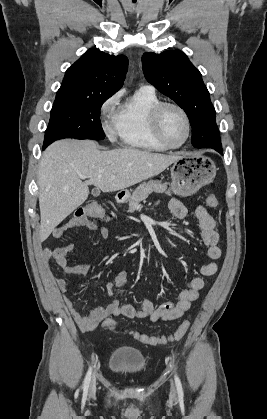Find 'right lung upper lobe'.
Segmentation results:
<instances>
[{
    "label": "right lung upper lobe",
    "instance_id": "cb5924a9",
    "mask_svg": "<svg viewBox=\"0 0 267 419\" xmlns=\"http://www.w3.org/2000/svg\"><path fill=\"white\" fill-rule=\"evenodd\" d=\"M127 66L126 56L91 48L67 69L56 96H112L122 87Z\"/></svg>",
    "mask_w": 267,
    "mask_h": 419
}]
</instances>
